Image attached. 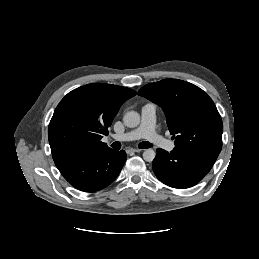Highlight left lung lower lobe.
<instances>
[{
    "instance_id": "0a47b994",
    "label": "left lung lower lobe",
    "mask_w": 259,
    "mask_h": 259,
    "mask_svg": "<svg viewBox=\"0 0 259 259\" xmlns=\"http://www.w3.org/2000/svg\"><path fill=\"white\" fill-rule=\"evenodd\" d=\"M219 153L210 150H177L160 148L153 160V171L164 184L185 189L196 185L210 171Z\"/></svg>"
}]
</instances>
